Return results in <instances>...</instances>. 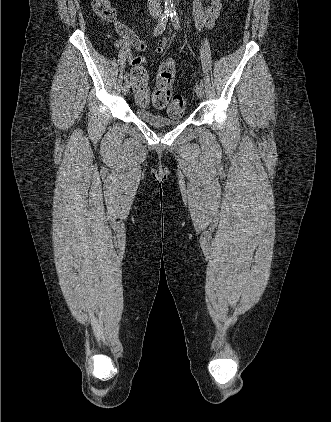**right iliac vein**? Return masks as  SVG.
<instances>
[{
  "label": "right iliac vein",
  "mask_w": 331,
  "mask_h": 422,
  "mask_svg": "<svg viewBox=\"0 0 331 422\" xmlns=\"http://www.w3.org/2000/svg\"><path fill=\"white\" fill-rule=\"evenodd\" d=\"M130 90V83L129 81H125L123 86H122V92L124 95H126Z\"/></svg>",
  "instance_id": "63e3f726"
}]
</instances>
